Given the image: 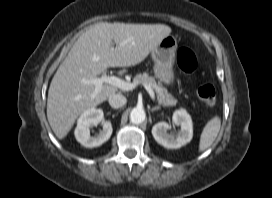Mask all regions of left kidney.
<instances>
[{"label": "left kidney", "instance_id": "obj_1", "mask_svg": "<svg viewBox=\"0 0 272 198\" xmlns=\"http://www.w3.org/2000/svg\"><path fill=\"white\" fill-rule=\"evenodd\" d=\"M173 124L180 126L176 134H168L171 126L166 122H159L152 128V135L160 145L168 149H177L189 143L193 137V124L190 115L185 110H177L173 113Z\"/></svg>", "mask_w": 272, "mask_h": 198}]
</instances>
